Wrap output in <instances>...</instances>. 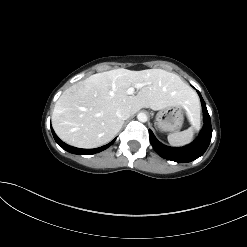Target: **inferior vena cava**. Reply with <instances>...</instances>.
<instances>
[{
	"label": "inferior vena cava",
	"mask_w": 247,
	"mask_h": 247,
	"mask_svg": "<svg viewBox=\"0 0 247 247\" xmlns=\"http://www.w3.org/2000/svg\"><path fill=\"white\" fill-rule=\"evenodd\" d=\"M116 115L121 120H126L130 117V109L126 106H121L116 110Z\"/></svg>",
	"instance_id": "inferior-vena-cava-1"
}]
</instances>
